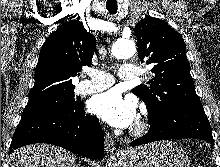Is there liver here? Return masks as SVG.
<instances>
[{
    "label": "liver",
    "mask_w": 220,
    "mask_h": 167,
    "mask_svg": "<svg viewBox=\"0 0 220 167\" xmlns=\"http://www.w3.org/2000/svg\"><path fill=\"white\" fill-rule=\"evenodd\" d=\"M8 167H77L74 154L47 144H34L15 150Z\"/></svg>",
    "instance_id": "1"
}]
</instances>
